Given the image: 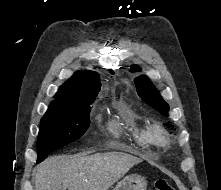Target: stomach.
Wrapping results in <instances>:
<instances>
[{
    "instance_id": "1",
    "label": "stomach",
    "mask_w": 221,
    "mask_h": 190,
    "mask_svg": "<svg viewBox=\"0 0 221 190\" xmlns=\"http://www.w3.org/2000/svg\"><path fill=\"white\" fill-rule=\"evenodd\" d=\"M114 190H147V182L140 175H129L123 178Z\"/></svg>"
}]
</instances>
